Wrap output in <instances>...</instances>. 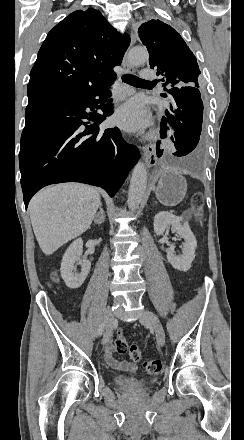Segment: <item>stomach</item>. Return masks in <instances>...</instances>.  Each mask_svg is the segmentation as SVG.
I'll list each match as a JSON object with an SVG mask.
<instances>
[{"label":"stomach","mask_w":244,"mask_h":440,"mask_svg":"<svg viewBox=\"0 0 244 440\" xmlns=\"http://www.w3.org/2000/svg\"><path fill=\"white\" fill-rule=\"evenodd\" d=\"M156 198L163 206H177L187 192V182L177 170H161L158 174Z\"/></svg>","instance_id":"1"}]
</instances>
